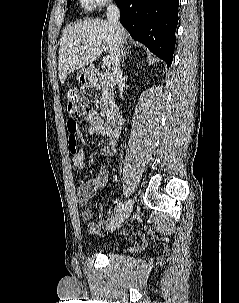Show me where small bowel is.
Masks as SVG:
<instances>
[{
	"label": "small bowel",
	"instance_id": "obj_1",
	"mask_svg": "<svg viewBox=\"0 0 239 303\" xmlns=\"http://www.w3.org/2000/svg\"><path fill=\"white\" fill-rule=\"evenodd\" d=\"M84 121L89 123L87 128V133L89 135L100 134L107 137V144L103 147L102 152L106 156H111L114 153V146L116 140L109 136L107 133L104 122L99 114L95 111H91L87 116L84 117ZM70 121V120H69ZM68 121V122H69ZM67 122V130L69 133L68 146L71 153V161L74 170L82 171L85 169V152L83 148V135L80 131V122L75 120L76 128L72 133L69 130ZM78 145L80 147H78ZM108 167L106 165L102 166L95 177L91 181H80L77 188L78 203L80 206H85L92 198L96 197L98 189L106 182L108 178ZM117 208V207H116ZM103 205L99 203V217L98 223L92 222L91 219L94 216V211L92 209H84L82 211L81 217L84 221H87V230L89 233L98 235L102 228L108 227V220L103 219Z\"/></svg>",
	"mask_w": 239,
	"mask_h": 303
}]
</instances>
